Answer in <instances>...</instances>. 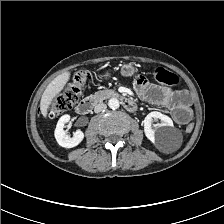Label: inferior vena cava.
Returning <instances> with one entry per match:
<instances>
[{
  "label": "inferior vena cava",
  "instance_id": "602c4592",
  "mask_svg": "<svg viewBox=\"0 0 224 224\" xmlns=\"http://www.w3.org/2000/svg\"><path fill=\"white\" fill-rule=\"evenodd\" d=\"M107 108L106 104L104 103H98L95 108H94V112L95 113H100L101 111L105 110Z\"/></svg>",
  "mask_w": 224,
  "mask_h": 224
}]
</instances>
